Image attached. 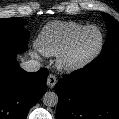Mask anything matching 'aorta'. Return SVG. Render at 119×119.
<instances>
[{"label": "aorta", "mask_w": 119, "mask_h": 119, "mask_svg": "<svg viewBox=\"0 0 119 119\" xmlns=\"http://www.w3.org/2000/svg\"><path fill=\"white\" fill-rule=\"evenodd\" d=\"M42 102L47 107H54L58 104V95L53 91H48L43 95Z\"/></svg>", "instance_id": "obj_1"}]
</instances>
